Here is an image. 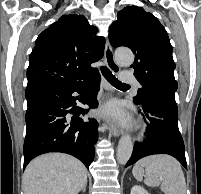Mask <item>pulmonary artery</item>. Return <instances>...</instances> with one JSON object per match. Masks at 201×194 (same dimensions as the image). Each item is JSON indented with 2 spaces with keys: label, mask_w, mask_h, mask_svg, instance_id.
Masks as SVG:
<instances>
[{
  "label": "pulmonary artery",
  "mask_w": 201,
  "mask_h": 194,
  "mask_svg": "<svg viewBox=\"0 0 201 194\" xmlns=\"http://www.w3.org/2000/svg\"><path fill=\"white\" fill-rule=\"evenodd\" d=\"M119 78H120L121 82H123V83L134 84L136 87L140 86V84L136 80L135 76L129 71L121 72L119 75Z\"/></svg>",
  "instance_id": "pulmonary-artery-1"
}]
</instances>
